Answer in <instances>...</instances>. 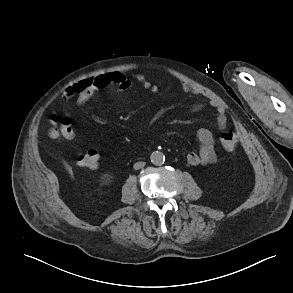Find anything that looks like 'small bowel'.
<instances>
[{"label": "small bowel", "mask_w": 293, "mask_h": 293, "mask_svg": "<svg viewBox=\"0 0 293 293\" xmlns=\"http://www.w3.org/2000/svg\"><path fill=\"white\" fill-rule=\"evenodd\" d=\"M137 81L144 89L150 90L152 93L158 92V86L151 83L145 76H137ZM131 86L130 80L120 72L101 73L96 76L84 78L75 84L68 87L63 97L71 99L77 105H83L88 102L93 95L104 89H115L124 91ZM182 91L192 93L200 96L203 91L196 86L190 85L186 82L180 84ZM205 108L204 104H198L194 107L195 112H199ZM94 121L97 124L103 125L106 121L98 116H95ZM217 125L219 128H224L227 124V116L224 108L217 107ZM199 141V150L197 152H190L187 154V161L193 166L207 165L215 162L217 154L215 151L214 137L210 130L201 128L196 133Z\"/></svg>", "instance_id": "obj_1"}]
</instances>
